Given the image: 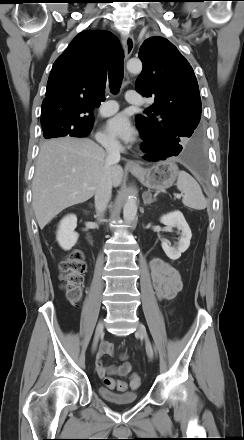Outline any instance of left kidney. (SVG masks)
Wrapping results in <instances>:
<instances>
[{
	"instance_id": "left-kidney-1",
	"label": "left kidney",
	"mask_w": 244,
	"mask_h": 440,
	"mask_svg": "<svg viewBox=\"0 0 244 440\" xmlns=\"http://www.w3.org/2000/svg\"><path fill=\"white\" fill-rule=\"evenodd\" d=\"M160 222L166 225L168 228L176 227L178 230H181V237L177 247H171L168 240H163L161 244L165 254L170 259L177 260L190 245V240L192 237L190 227L180 211H174L163 215L160 218Z\"/></svg>"
}]
</instances>
